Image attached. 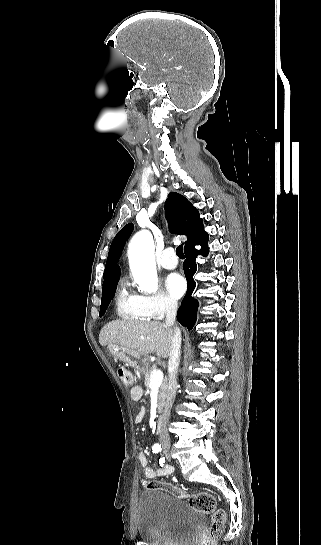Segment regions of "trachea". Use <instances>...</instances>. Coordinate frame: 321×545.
Listing matches in <instances>:
<instances>
[{
  "label": "trachea",
  "instance_id": "3493384b",
  "mask_svg": "<svg viewBox=\"0 0 321 545\" xmlns=\"http://www.w3.org/2000/svg\"><path fill=\"white\" fill-rule=\"evenodd\" d=\"M176 254L179 258H185L183 252V243L177 247Z\"/></svg>",
  "mask_w": 321,
  "mask_h": 545
}]
</instances>
